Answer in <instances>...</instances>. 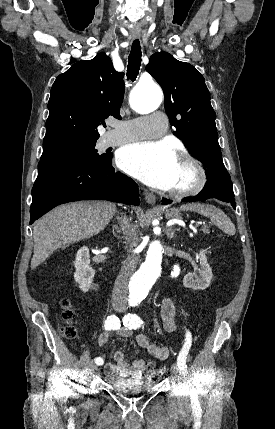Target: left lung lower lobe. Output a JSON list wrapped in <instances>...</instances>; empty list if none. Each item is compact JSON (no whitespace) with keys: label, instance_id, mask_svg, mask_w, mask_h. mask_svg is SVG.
<instances>
[{"label":"left lung lower lobe","instance_id":"left-lung-lower-lobe-1","mask_svg":"<svg viewBox=\"0 0 275 429\" xmlns=\"http://www.w3.org/2000/svg\"><path fill=\"white\" fill-rule=\"evenodd\" d=\"M235 195L232 188L231 180L224 178L208 179L205 187L195 197L184 199L185 202L206 200L209 198H217L224 202H229L234 209H236ZM172 203L171 200L166 198L162 199V204Z\"/></svg>","mask_w":275,"mask_h":429}]
</instances>
